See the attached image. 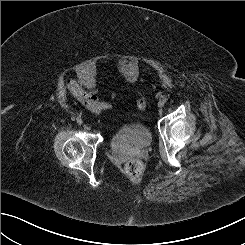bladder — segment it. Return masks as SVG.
Here are the masks:
<instances>
[{
	"mask_svg": "<svg viewBox=\"0 0 245 245\" xmlns=\"http://www.w3.org/2000/svg\"><path fill=\"white\" fill-rule=\"evenodd\" d=\"M151 143V131L140 121L123 122L110 136L111 148L117 153L143 150Z\"/></svg>",
	"mask_w": 245,
	"mask_h": 245,
	"instance_id": "obj_1",
	"label": "bladder"
}]
</instances>
